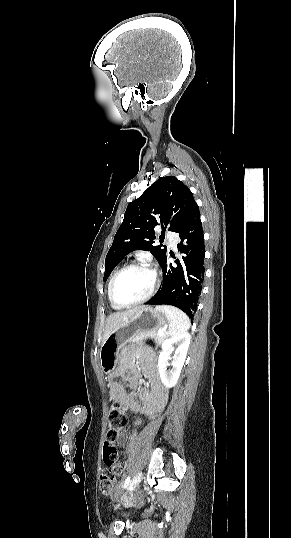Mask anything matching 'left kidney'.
<instances>
[{
	"label": "left kidney",
	"mask_w": 291,
	"mask_h": 538,
	"mask_svg": "<svg viewBox=\"0 0 291 538\" xmlns=\"http://www.w3.org/2000/svg\"><path fill=\"white\" fill-rule=\"evenodd\" d=\"M190 338L191 336L188 332H183L177 336L166 339L162 343V351L158 358V368L162 383L168 388L175 386L177 383L187 356ZM175 345H177L176 349L174 348ZM174 350V356L171 358L172 370L168 371V359H170V355Z\"/></svg>",
	"instance_id": "1"
}]
</instances>
